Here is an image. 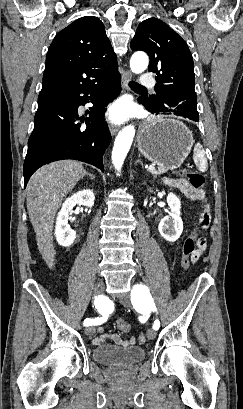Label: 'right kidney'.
I'll use <instances>...</instances> for the list:
<instances>
[{
  "label": "right kidney",
  "instance_id": "ca27d5eb",
  "mask_svg": "<svg viewBox=\"0 0 243 409\" xmlns=\"http://www.w3.org/2000/svg\"><path fill=\"white\" fill-rule=\"evenodd\" d=\"M94 200V193L90 189L79 191L65 200L58 213L55 226V236L59 245L68 247L76 239V232L68 224V217L73 207L78 203L92 207Z\"/></svg>",
  "mask_w": 243,
  "mask_h": 409
}]
</instances>
